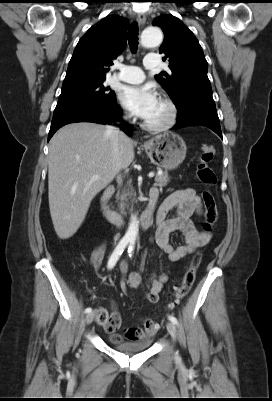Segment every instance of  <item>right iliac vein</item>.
Here are the masks:
<instances>
[{
	"instance_id": "63e3f726",
	"label": "right iliac vein",
	"mask_w": 272,
	"mask_h": 401,
	"mask_svg": "<svg viewBox=\"0 0 272 401\" xmlns=\"http://www.w3.org/2000/svg\"><path fill=\"white\" fill-rule=\"evenodd\" d=\"M94 317H95L94 313H89V314L86 316V323H87V324L92 323V321L94 320Z\"/></svg>"
}]
</instances>
